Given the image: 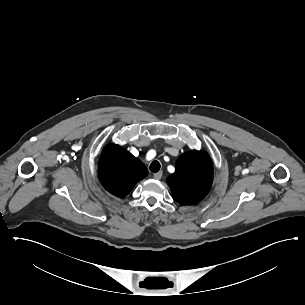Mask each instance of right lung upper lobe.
Wrapping results in <instances>:
<instances>
[{
    "instance_id": "cb5924a9",
    "label": "right lung upper lobe",
    "mask_w": 305,
    "mask_h": 305,
    "mask_svg": "<svg viewBox=\"0 0 305 305\" xmlns=\"http://www.w3.org/2000/svg\"><path fill=\"white\" fill-rule=\"evenodd\" d=\"M148 174L145 165L127 150L108 144L99 162V178L111 194L123 198Z\"/></svg>"
}]
</instances>
